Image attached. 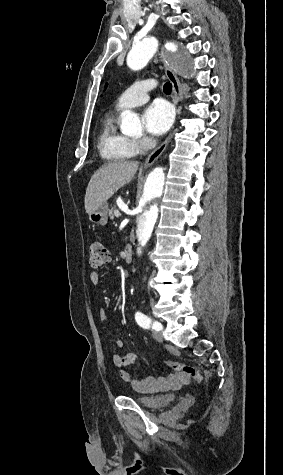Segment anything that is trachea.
I'll return each mask as SVG.
<instances>
[{
  "label": "trachea",
  "instance_id": "3493384b",
  "mask_svg": "<svg viewBox=\"0 0 283 475\" xmlns=\"http://www.w3.org/2000/svg\"><path fill=\"white\" fill-rule=\"evenodd\" d=\"M163 91L167 94L171 93L172 84L171 83H165V85L163 86Z\"/></svg>",
  "mask_w": 283,
  "mask_h": 475
}]
</instances>
